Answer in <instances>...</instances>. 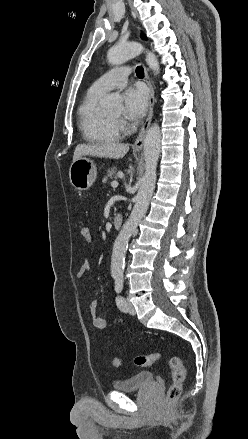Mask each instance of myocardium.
Segmentation results:
<instances>
[{
    "label": "myocardium",
    "instance_id": "f54148a6",
    "mask_svg": "<svg viewBox=\"0 0 248 439\" xmlns=\"http://www.w3.org/2000/svg\"><path fill=\"white\" fill-rule=\"evenodd\" d=\"M109 119L114 122L115 124H117L118 126L122 123V119L121 118H112L110 116H108Z\"/></svg>",
    "mask_w": 248,
    "mask_h": 439
}]
</instances>
